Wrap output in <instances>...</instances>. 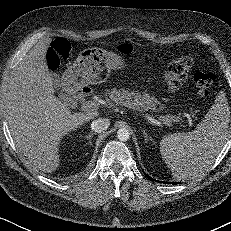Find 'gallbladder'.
I'll use <instances>...</instances> for the list:
<instances>
[{
    "instance_id": "1",
    "label": "gallbladder",
    "mask_w": 231,
    "mask_h": 231,
    "mask_svg": "<svg viewBox=\"0 0 231 231\" xmlns=\"http://www.w3.org/2000/svg\"><path fill=\"white\" fill-rule=\"evenodd\" d=\"M52 79H53V83L54 86L58 87L60 85V77L57 74H52Z\"/></svg>"
}]
</instances>
